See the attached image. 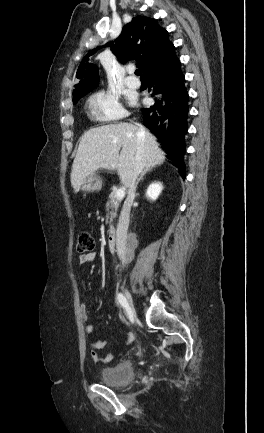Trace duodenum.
I'll list each match as a JSON object with an SVG mask.
<instances>
[{"mask_svg":"<svg viewBox=\"0 0 264 433\" xmlns=\"http://www.w3.org/2000/svg\"><path fill=\"white\" fill-rule=\"evenodd\" d=\"M116 236H117V230L115 228L109 229L107 235V243L109 248L114 251L116 250V245H117Z\"/></svg>","mask_w":264,"mask_h":433,"instance_id":"obj_1","label":"duodenum"}]
</instances>
